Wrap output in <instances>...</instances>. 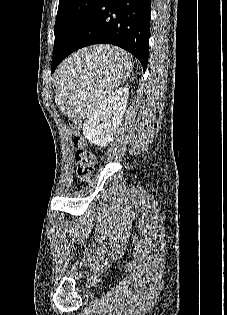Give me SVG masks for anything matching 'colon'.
<instances>
[{"mask_svg": "<svg viewBox=\"0 0 227 315\" xmlns=\"http://www.w3.org/2000/svg\"><path fill=\"white\" fill-rule=\"evenodd\" d=\"M68 133L73 137L74 143L77 146L75 154V169L77 177L81 181H86L90 178L94 164L95 156L86 147V141L81 132V124L77 119H72L67 125Z\"/></svg>", "mask_w": 227, "mask_h": 315, "instance_id": "colon-1", "label": "colon"}]
</instances>
